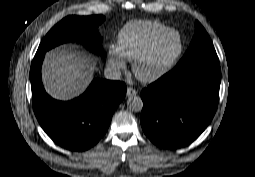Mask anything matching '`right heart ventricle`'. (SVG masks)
<instances>
[{
	"instance_id": "e07e8e85",
	"label": "right heart ventricle",
	"mask_w": 255,
	"mask_h": 177,
	"mask_svg": "<svg viewBox=\"0 0 255 177\" xmlns=\"http://www.w3.org/2000/svg\"><path fill=\"white\" fill-rule=\"evenodd\" d=\"M165 29L167 26L159 21L129 22L118 36L120 50L128 61H134L149 41Z\"/></svg>"
}]
</instances>
